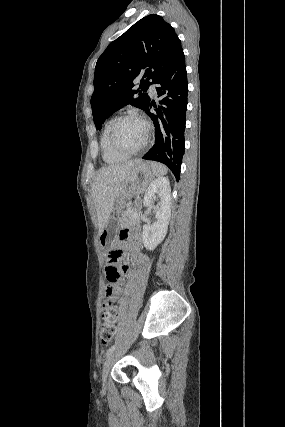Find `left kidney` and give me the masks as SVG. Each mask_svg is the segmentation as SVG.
<instances>
[{
  "mask_svg": "<svg viewBox=\"0 0 285 427\" xmlns=\"http://www.w3.org/2000/svg\"><path fill=\"white\" fill-rule=\"evenodd\" d=\"M159 200L157 206L155 200ZM143 205L155 210L157 221L143 226L142 240L148 250H154L167 234L171 215V188L168 178L159 177L148 187Z\"/></svg>",
  "mask_w": 285,
  "mask_h": 427,
  "instance_id": "obj_1",
  "label": "left kidney"
}]
</instances>
